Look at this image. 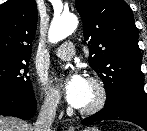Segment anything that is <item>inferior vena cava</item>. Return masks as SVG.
I'll use <instances>...</instances> for the list:
<instances>
[{
	"label": "inferior vena cava",
	"mask_w": 147,
	"mask_h": 131,
	"mask_svg": "<svg viewBox=\"0 0 147 131\" xmlns=\"http://www.w3.org/2000/svg\"><path fill=\"white\" fill-rule=\"evenodd\" d=\"M57 103L56 100H49L42 105L34 124V131H51V126L56 115Z\"/></svg>",
	"instance_id": "inferior-vena-cava-1"
}]
</instances>
